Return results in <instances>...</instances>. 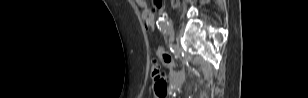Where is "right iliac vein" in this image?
<instances>
[{
	"instance_id": "1",
	"label": "right iliac vein",
	"mask_w": 308,
	"mask_h": 98,
	"mask_svg": "<svg viewBox=\"0 0 308 98\" xmlns=\"http://www.w3.org/2000/svg\"><path fill=\"white\" fill-rule=\"evenodd\" d=\"M167 34L169 36V40L172 43L175 37V33H174V29H173V25H172V21L168 20L167 23Z\"/></svg>"
}]
</instances>
